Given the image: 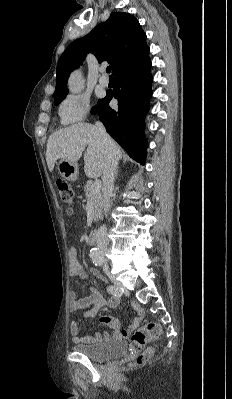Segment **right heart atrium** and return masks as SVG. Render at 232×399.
I'll return each mask as SVG.
<instances>
[{"instance_id":"obj_1","label":"right heart atrium","mask_w":232,"mask_h":399,"mask_svg":"<svg viewBox=\"0 0 232 399\" xmlns=\"http://www.w3.org/2000/svg\"><path fill=\"white\" fill-rule=\"evenodd\" d=\"M90 108L83 105L77 96H70L58 108V116L62 125H76L77 120H84L88 116Z\"/></svg>"}]
</instances>
